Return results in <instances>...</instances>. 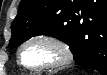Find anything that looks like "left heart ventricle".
Returning a JSON list of instances; mask_svg holds the SVG:
<instances>
[{
  "instance_id": "1",
  "label": "left heart ventricle",
  "mask_w": 107,
  "mask_h": 75,
  "mask_svg": "<svg viewBox=\"0 0 107 75\" xmlns=\"http://www.w3.org/2000/svg\"><path fill=\"white\" fill-rule=\"evenodd\" d=\"M23 61L30 66H41L50 64L59 59L58 51L44 42L29 44L22 53Z\"/></svg>"
}]
</instances>
